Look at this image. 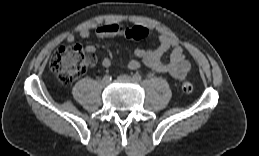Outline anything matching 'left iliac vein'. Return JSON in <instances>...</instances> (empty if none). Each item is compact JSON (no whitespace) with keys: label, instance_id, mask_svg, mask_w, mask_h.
I'll return each instance as SVG.
<instances>
[{"label":"left iliac vein","instance_id":"left-iliac-vein-1","mask_svg":"<svg viewBox=\"0 0 259 156\" xmlns=\"http://www.w3.org/2000/svg\"><path fill=\"white\" fill-rule=\"evenodd\" d=\"M119 79L123 80V81H129V82H134L135 81L133 78H131L128 75H121V76H119Z\"/></svg>","mask_w":259,"mask_h":156}]
</instances>
